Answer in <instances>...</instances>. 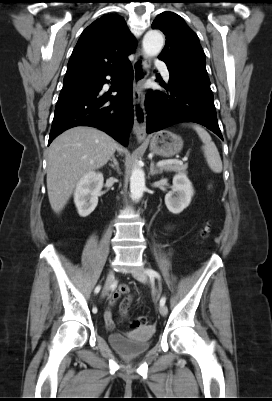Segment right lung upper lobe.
I'll list each match as a JSON object with an SVG mask.
<instances>
[{
    "instance_id": "right-lung-upper-lobe-1",
    "label": "right lung upper lobe",
    "mask_w": 272,
    "mask_h": 401,
    "mask_svg": "<svg viewBox=\"0 0 272 401\" xmlns=\"http://www.w3.org/2000/svg\"><path fill=\"white\" fill-rule=\"evenodd\" d=\"M135 48L136 40L125 20L115 14L103 15L82 32L69 59L62 91L102 77L125 62Z\"/></svg>"
}]
</instances>
